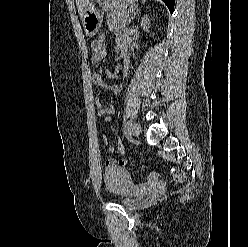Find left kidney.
Returning <instances> with one entry per match:
<instances>
[{
	"instance_id": "obj_1",
	"label": "left kidney",
	"mask_w": 248,
	"mask_h": 247,
	"mask_svg": "<svg viewBox=\"0 0 248 247\" xmlns=\"http://www.w3.org/2000/svg\"><path fill=\"white\" fill-rule=\"evenodd\" d=\"M150 19L147 15H145L141 20V27L144 31L148 32L150 28Z\"/></svg>"
}]
</instances>
